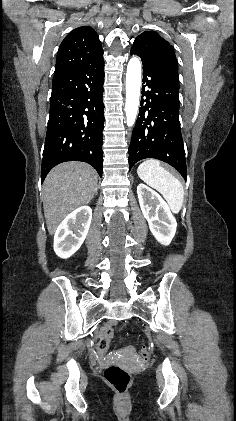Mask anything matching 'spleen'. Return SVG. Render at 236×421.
<instances>
[{"label":"spleen","mask_w":236,"mask_h":421,"mask_svg":"<svg viewBox=\"0 0 236 421\" xmlns=\"http://www.w3.org/2000/svg\"><path fill=\"white\" fill-rule=\"evenodd\" d=\"M137 174L144 182L161 192L162 196L167 200L172 213L178 215L184 200L182 182L176 176H173L171 172H168L166 168H163L159 160H155V158H147V160L141 162L137 168Z\"/></svg>","instance_id":"3e777b00"}]
</instances>
